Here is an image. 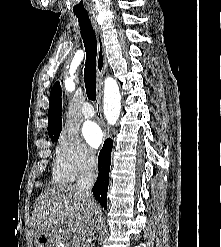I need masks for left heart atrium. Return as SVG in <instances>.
Returning <instances> with one entry per match:
<instances>
[{
  "mask_svg": "<svg viewBox=\"0 0 221 247\" xmlns=\"http://www.w3.org/2000/svg\"><path fill=\"white\" fill-rule=\"evenodd\" d=\"M82 135L87 144L92 148H98L103 141V133L100 127L92 121L84 124L82 128Z\"/></svg>",
  "mask_w": 221,
  "mask_h": 247,
  "instance_id": "left-heart-atrium-1",
  "label": "left heart atrium"
}]
</instances>
